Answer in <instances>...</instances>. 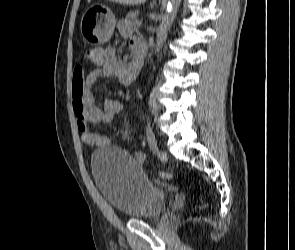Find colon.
<instances>
[{
	"mask_svg": "<svg viewBox=\"0 0 295 250\" xmlns=\"http://www.w3.org/2000/svg\"><path fill=\"white\" fill-rule=\"evenodd\" d=\"M92 58V50H87L83 54V60L84 61H90Z\"/></svg>",
	"mask_w": 295,
	"mask_h": 250,
	"instance_id": "5ec220e1",
	"label": "colon"
}]
</instances>
